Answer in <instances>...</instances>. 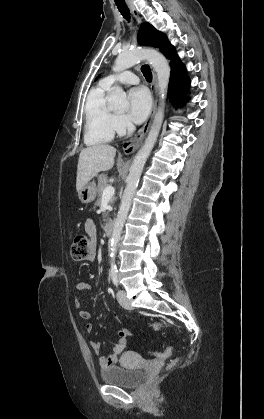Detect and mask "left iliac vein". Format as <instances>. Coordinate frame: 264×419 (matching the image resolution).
<instances>
[{"instance_id": "obj_1", "label": "left iliac vein", "mask_w": 264, "mask_h": 419, "mask_svg": "<svg viewBox=\"0 0 264 419\" xmlns=\"http://www.w3.org/2000/svg\"><path fill=\"white\" fill-rule=\"evenodd\" d=\"M117 299L122 307L125 309H132V305L129 302L126 292L124 290H119L117 293Z\"/></svg>"}]
</instances>
